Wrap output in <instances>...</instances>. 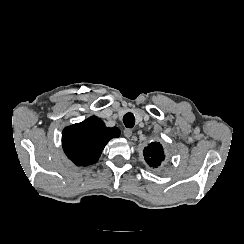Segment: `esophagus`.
<instances>
[{"label": "esophagus", "mask_w": 244, "mask_h": 244, "mask_svg": "<svg viewBox=\"0 0 244 244\" xmlns=\"http://www.w3.org/2000/svg\"><path fill=\"white\" fill-rule=\"evenodd\" d=\"M123 133H124L125 137L130 138L132 135V130L131 129H124Z\"/></svg>", "instance_id": "esophagus-1"}]
</instances>
